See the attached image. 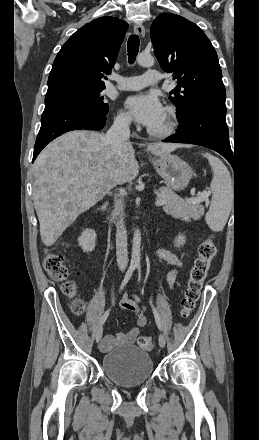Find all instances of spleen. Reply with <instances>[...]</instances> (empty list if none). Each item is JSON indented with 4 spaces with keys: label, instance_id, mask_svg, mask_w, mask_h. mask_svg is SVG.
I'll return each instance as SVG.
<instances>
[{
    "label": "spleen",
    "instance_id": "obj_1",
    "mask_svg": "<svg viewBox=\"0 0 259 440\" xmlns=\"http://www.w3.org/2000/svg\"><path fill=\"white\" fill-rule=\"evenodd\" d=\"M213 171L210 184L212 200L206 214V223L215 232L222 231L233 206V183L224 163L217 157L205 153Z\"/></svg>",
    "mask_w": 259,
    "mask_h": 440
}]
</instances>
